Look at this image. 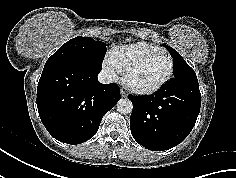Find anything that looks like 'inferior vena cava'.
Segmentation results:
<instances>
[{"mask_svg":"<svg viewBox=\"0 0 236 178\" xmlns=\"http://www.w3.org/2000/svg\"><path fill=\"white\" fill-rule=\"evenodd\" d=\"M98 80L102 84H109L113 82V76L108 70H102L98 74Z\"/></svg>","mask_w":236,"mask_h":178,"instance_id":"1","label":"inferior vena cava"}]
</instances>
